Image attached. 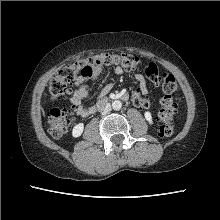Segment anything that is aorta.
<instances>
[{
  "label": "aorta",
  "mask_w": 220,
  "mask_h": 220,
  "mask_svg": "<svg viewBox=\"0 0 220 220\" xmlns=\"http://www.w3.org/2000/svg\"><path fill=\"white\" fill-rule=\"evenodd\" d=\"M121 107H122L121 101H119V100L113 101V103H112V108H113L114 110H116V111H117V110H120Z\"/></svg>",
  "instance_id": "762f6f07"
}]
</instances>
